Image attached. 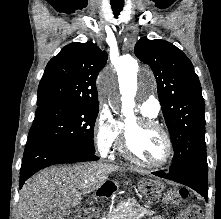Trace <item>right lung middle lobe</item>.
I'll use <instances>...</instances> for the list:
<instances>
[{"mask_svg":"<svg viewBox=\"0 0 221 219\" xmlns=\"http://www.w3.org/2000/svg\"><path fill=\"white\" fill-rule=\"evenodd\" d=\"M37 105L28 139L43 137L77 150L95 153L93 129L99 104L49 101Z\"/></svg>","mask_w":221,"mask_h":219,"instance_id":"dd1d6c3e","label":"right lung middle lobe"}]
</instances>
